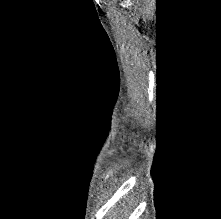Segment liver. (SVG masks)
Listing matches in <instances>:
<instances>
[{
  "label": "liver",
  "instance_id": "obj_1",
  "mask_svg": "<svg viewBox=\"0 0 221 219\" xmlns=\"http://www.w3.org/2000/svg\"><path fill=\"white\" fill-rule=\"evenodd\" d=\"M129 208H130V205L129 207H126L123 205V208H119L118 212L114 214V217H115L114 219H128Z\"/></svg>",
  "mask_w": 221,
  "mask_h": 219
}]
</instances>
